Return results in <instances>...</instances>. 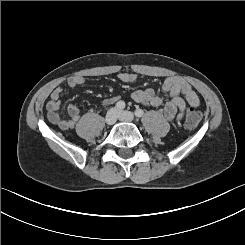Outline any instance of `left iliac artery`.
<instances>
[{"mask_svg": "<svg viewBox=\"0 0 245 245\" xmlns=\"http://www.w3.org/2000/svg\"><path fill=\"white\" fill-rule=\"evenodd\" d=\"M144 115V111L142 110V109H140V108H137L136 110H135V116L136 117H142Z\"/></svg>", "mask_w": 245, "mask_h": 245, "instance_id": "1", "label": "left iliac artery"}]
</instances>
